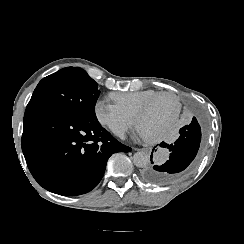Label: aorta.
Listing matches in <instances>:
<instances>
[{
    "label": "aorta",
    "instance_id": "obj_1",
    "mask_svg": "<svg viewBox=\"0 0 244 244\" xmlns=\"http://www.w3.org/2000/svg\"><path fill=\"white\" fill-rule=\"evenodd\" d=\"M150 162V155L145 151H138L133 155V163L139 168L146 167Z\"/></svg>",
    "mask_w": 244,
    "mask_h": 244
}]
</instances>
